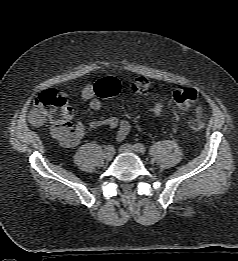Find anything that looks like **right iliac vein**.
Listing matches in <instances>:
<instances>
[{"label": "right iliac vein", "mask_w": 238, "mask_h": 261, "mask_svg": "<svg viewBox=\"0 0 238 261\" xmlns=\"http://www.w3.org/2000/svg\"><path fill=\"white\" fill-rule=\"evenodd\" d=\"M114 154H115L114 150L111 153H108L105 150V154L104 155H105L106 160L110 161L113 158Z\"/></svg>", "instance_id": "63e3f726"}]
</instances>
